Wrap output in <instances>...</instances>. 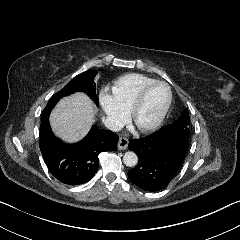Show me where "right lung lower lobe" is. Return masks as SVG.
Returning a JSON list of instances; mask_svg holds the SVG:
<instances>
[{
  "mask_svg": "<svg viewBox=\"0 0 240 240\" xmlns=\"http://www.w3.org/2000/svg\"><path fill=\"white\" fill-rule=\"evenodd\" d=\"M118 136L109 130L92 127L79 143L64 144L52 132L49 115L42 118L40 126V150L51 174L67 185L88 182L99 167V155L104 151H116Z\"/></svg>",
  "mask_w": 240,
  "mask_h": 240,
  "instance_id": "right-lung-lower-lobe-1",
  "label": "right lung lower lobe"
}]
</instances>
